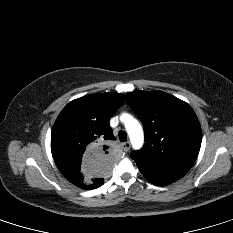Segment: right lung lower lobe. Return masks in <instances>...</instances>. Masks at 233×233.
Returning a JSON list of instances; mask_svg holds the SVG:
<instances>
[{
    "label": "right lung lower lobe",
    "instance_id": "98d812e1",
    "mask_svg": "<svg viewBox=\"0 0 233 233\" xmlns=\"http://www.w3.org/2000/svg\"><path fill=\"white\" fill-rule=\"evenodd\" d=\"M102 184L103 183H101V184H95V185L94 184H86V185L81 186V188L91 190V189L100 187Z\"/></svg>",
    "mask_w": 233,
    "mask_h": 233
}]
</instances>
